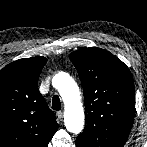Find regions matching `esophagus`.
Here are the masks:
<instances>
[{"instance_id": "esophagus-1", "label": "esophagus", "mask_w": 147, "mask_h": 147, "mask_svg": "<svg viewBox=\"0 0 147 147\" xmlns=\"http://www.w3.org/2000/svg\"><path fill=\"white\" fill-rule=\"evenodd\" d=\"M57 117H58V119H59L60 121H62V120H63V112H62V111H58V112H57Z\"/></svg>"}]
</instances>
